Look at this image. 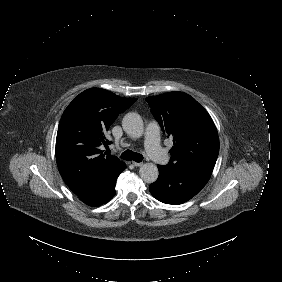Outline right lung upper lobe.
I'll return each instance as SVG.
<instances>
[{
	"mask_svg": "<svg viewBox=\"0 0 282 282\" xmlns=\"http://www.w3.org/2000/svg\"><path fill=\"white\" fill-rule=\"evenodd\" d=\"M136 100L90 88L65 109L57 132L56 161L63 180L75 194L83 191L95 177L124 165L115 156L101 154L103 151L98 147L110 144L105 137L110 125Z\"/></svg>",
	"mask_w": 282,
	"mask_h": 282,
	"instance_id": "obj_1",
	"label": "right lung upper lobe"
}]
</instances>
